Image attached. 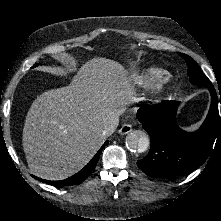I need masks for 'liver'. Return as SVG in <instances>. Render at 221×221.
I'll use <instances>...</instances> for the list:
<instances>
[{"label": "liver", "instance_id": "obj_1", "mask_svg": "<svg viewBox=\"0 0 221 221\" xmlns=\"http://www.w3.org/2000/svg\"><path fill=\"white\" fill-rule=\"evenodd\" d=\"M131 80L119 62L94 58L78 70L69 86L38 96L22 136L31 173L62 180L84 167L105 139L104 126L134 102Z\"/></svg>", "mask_w": 221, "mask_h": 221}]
</instances>
